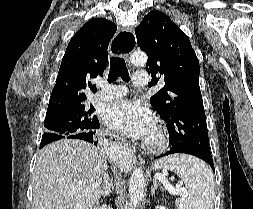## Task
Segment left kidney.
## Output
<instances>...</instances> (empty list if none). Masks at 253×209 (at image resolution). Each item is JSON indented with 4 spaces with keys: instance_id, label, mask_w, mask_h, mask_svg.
<instances>
[{
    "instance_id": "left-kidney-1",
    "label": "left kidney",
    "mask_w": 253,
    "mask_h": 209,
    "mask_svg": "<svg viewBox=\"0 0 253 209\" xmlns=\"http://www.w3.org/2000/svg\"><path fill=\"white\" fill-rule=\"evenodd\" d=\"M155 209H168V208H166L165 206H162V205H157L155 207Z\"/></svg>"
}]
</instances>
